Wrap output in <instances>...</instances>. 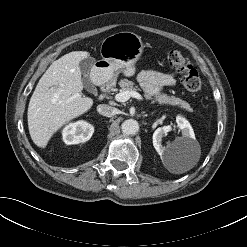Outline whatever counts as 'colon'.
Segmentation results:
<instances>
[{"label": "colon", "mask_w": 247, "mask_h": 247, "mask_svg": "<svg viewBox=\"0 0 247 247\" xmlns=\"http://www.w3.org/2000/svg\"><path fill=\"white\" fill-rule=\"evenodd\" d=\"M167 59L168 64L182 74L185 89L191 93L198 92L201 88V78L189 60L176 50L170 51Z\"/></svg>", "instance_id": "5ec220e1"}]
</instances>
